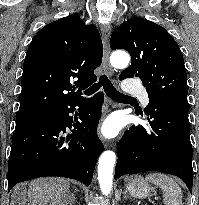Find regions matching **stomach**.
<instances>
[{
	"label": "stomach",
	"instance_id": "obj_1",
	"mask_svg": "<svg viewBox=\"0 0 199 205\" xmlns=\"http://www.w3.org/2000/svg\"><path fill=\"white\" fill-rule=\"evenodd\" d=\"M126 189L132 197L139 199L146 198L152 191H154L150 182L142 176L131 178L126 185Z\"/></svg>",
	"mask_w": 199,
	"mask_h": 205
}]
</instances>
